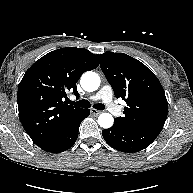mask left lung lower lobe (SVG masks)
<instances>
[{
  "label": "left lung lower lobe",
  "instance_id": "1",
  "mask_svg": "<svg viewBox=\"0 0 193 193\" xmlns=\"http://www.w3.org/2000/svg\"><path fill=\"white\" fill-rule=\"evenodd\" d=\"M162 128L126 129L115 124L102 131L105 141L114 149L122 152H138L149 146L159 135Z\"/></svg>",
  "mask_w": 193,
  "mask_h": 193
}]
</instances>
